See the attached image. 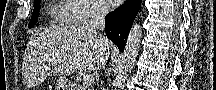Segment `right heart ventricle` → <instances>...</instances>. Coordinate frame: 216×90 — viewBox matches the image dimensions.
Returning <instances> with one entry per match:
<instances>
[{
  "mask_svg": "<svg viewBox=\"0 0 216 90\" xmlns=\"http://www.w3.org/2000/svg\"><path fill=\"white\" fill-rule=\"evenodd\" d=\"M78 4H55L49 7L48 14L51 15V20L48 24L52 28H82L80 23H73V17L77 16L78 11H84V7H78ZM67 24H69L67 26Z\"/></svg>",
  "mask_w": 216,
  "mask_h": 90,
  "instance_id": "right-heart-ventricle-1",
  "label": "right heart ventricle"
}]
</instances>
